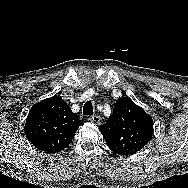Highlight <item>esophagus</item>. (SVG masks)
Masks as SVG:
<instances>
[{
    "label": "esophagus",
    "mask_w": 188,
    "mask_h": 188,
    "mask_svg": "<svg viewBox=\"0 0 188 188\" xmlns=\"http://www.w3.org/2000/svg\"><path fill=\"white\" fill-rule=\"evenodd\" d=\"M88 120L100 124L101 123V117L99 115H92L88 118Z\"/></svg>",
    "instance_id": "esophagus-1"
}]
</instances>
